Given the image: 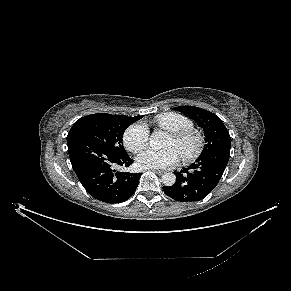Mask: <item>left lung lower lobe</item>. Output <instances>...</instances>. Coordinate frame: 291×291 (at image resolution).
I'll list each match as a JSON object with an SVG mask.
<instances>
[{
  "instance_id": "0a47b994",
  "label": "left lung lower lobe",
  "mask_w": 291,
  "mask_h": 291,
  "mask_svg": "<svg viewBox=\"0 0 291 291\" xmlns=\"http://www.w3.org/2000/svg\"><path fill=\"white\" fill-rule=\"evenodd\" d=\"M230 149L221 148L180 172H174L176 182L163 187L165 194L179 202H195L204 199L218 184L229 160Z\"/></svg>"
}]
</instances>
